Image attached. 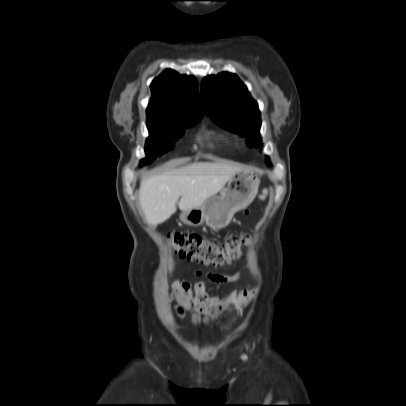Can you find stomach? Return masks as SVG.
<instances>
[{
	"instance_id": "obj_1",
	"label": "stomach",
	"mask_w": 406,
	"mask_h": 406,
	"mask_svg": "<svg viewBox=\"0 0 406 406\" xmlns=\"http://www.w3.org/2000/svg\"><path fill=\"white\" fill-rule=\"evenodd\" d=\"M260 180L256 174L240 170L232 175L221 190L220 196L208 198L200 207L181 214L182 222L199 226L206 222L214 229L226 227L233 215L247 207L255 198Z\"/></svg>"
}]
</instances>
